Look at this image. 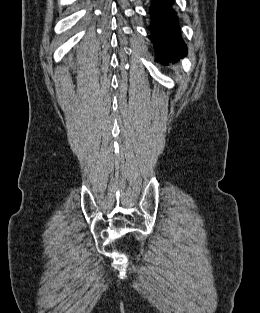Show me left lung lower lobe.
Wrapping results in <instances>:
<instances>
[{
    "label": "left lung lower lobe",
    "mask_w": 260,
    "mask_h": 313,
    "mask_svg": "<svg viewBox=\"0 0 260 313\" xmlns=\"http://www.w3.org/2000/svg\"><path fill=\"white\" fill-rule=\"evenodd\" d=\"M174 0H153L150 7V39L156 47L158 61L168 63L184 57L187 47L181 38Z\"/></svg>",
    "instance_id": "1"
}]
</instances>
